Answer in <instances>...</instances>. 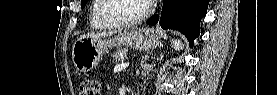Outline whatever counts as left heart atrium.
Listing matches in <instances>:
<instances>
[{"label": "left heart atrium", "instance_id": "1", "mask_svg": "<svg viewBox=\"0 0 277 95\" xmlns=\"http://www.w3.org/2000/svg\"><path fill=\"white\" fill-rule=\"evenodd\" d=\"M148 3H155L156 0H146Z\"/></svg>", "mask_w": 277, "mask_h": 95}]
</instances>
